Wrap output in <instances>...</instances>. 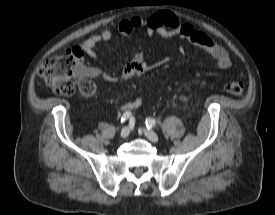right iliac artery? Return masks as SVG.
Masks as SVG:
<instances>
[{
	"mask_svg": "<svg viewBox=\"0 0 275 215\" xmlns=\"http://www.w3.org/2000/svg\"><path fill=\"white\" fill-rule=\"evenodd\" d=\"M130 117H131V112L126 111V112L122 115L120 122L123 123V122H125L126 120H128Z\"/></svg>",
	"mask_w": 275,
	"mask_h": 215,
	"instance_id": "right-iliac-artery-1",
	"label": "right iliac artery"
}]
</instances>
